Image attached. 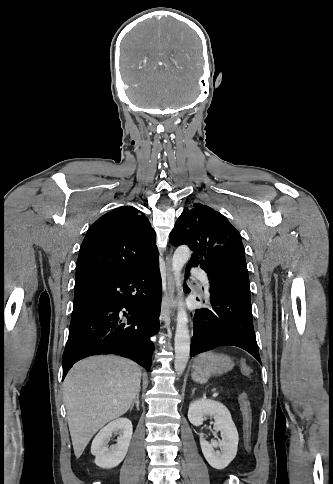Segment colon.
<instances>
[{
	"label": "colon",
	"instance_id": "obj_1",
	"mask_svg": "<svg viewBox=\"0 0 333 484\" xmlns=\"http://www.w3.org/2000/svg\"><path fill=\"white\" fill-rule=\"evenodd\" d=\"M240 370L242 374L250 376L252 374V368L246 362H240ZM239 404L243 417V431H244V446L245 450L249 453L251 451V438H252V410L250 402L245 393L239 395Z\"/></svg>",
	"mask_w": 333,
	"mask_h": 484
}]
</instances>
